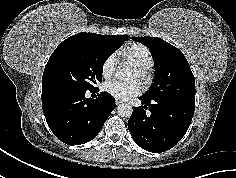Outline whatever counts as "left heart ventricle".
Here are the masks:
<instances>
[{
    "label": "left heart ventricle",
    "mask_w": 236,
    "mask_h": 178,
    "mask_svg": "<svg viewBox=\"0 0 236 178\" xmlns=\"http://www.w3.org/2000/svg\"><path fill=\"white\" fill-rule=\"evenodd\" d=\"M131 77L132 78H137V71L135 69L132 70Z\"/></svg>",
    "instance_id": "b2bd125f"
}]
</instances>
